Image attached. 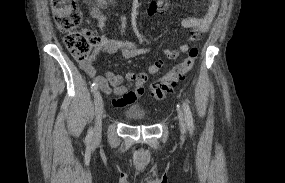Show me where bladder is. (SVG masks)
<instances>
[{
	"label": "bladder",
	"mask_w": 285,
	"mask_h": 183,
	"mask_svg": "<svg viewBox=\"0 0 285 183\" xmlns=\"http://www.w3.org/2000/svg\"><path fill=\"white\" fill-rule=\"evenodd\" d=\"M125 114L130 120L134 121H141L146 118V112L141 106L138 105L129 107L126 110Z\"/></svg>",
	"instance_id": "obj_1"
}]
</instances>
